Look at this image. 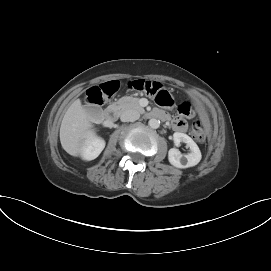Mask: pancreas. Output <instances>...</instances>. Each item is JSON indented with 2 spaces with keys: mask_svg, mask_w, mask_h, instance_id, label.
<instances>
[{
  "mask_svg": "<svg viewBox=\"0 0 271 271\" xmlns=\"http://www.w3.org/2000/svg\"><path fill=\"white\" fill-rule=\"evenodd\" d=\"M112 109L117 111L118 113H122L126 110H136L139 113H144L145 110L139 104V98H134L131 96H125L120 98L117 102L113 103L110 106Z\"/></svg>",
  "mask_w": 271,
  "mask_h": 271,
  "instance_id": "cf45deb5",
  "label": "pancreas"
}]
</instances>
